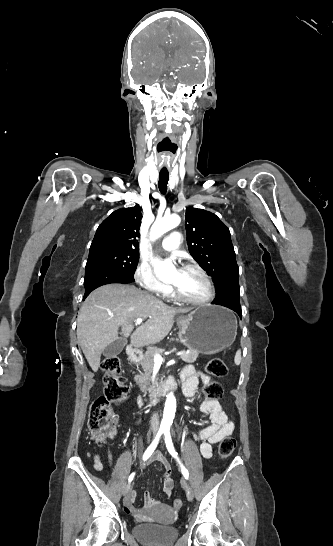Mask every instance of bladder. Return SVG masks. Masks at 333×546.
<instances>
[{
  "mask_svg": "<svg viewBox=\"0 0 333 546\" xmlns=\"http://www.w3.org/2000/svg\"><path fill=\"white\" fill-rule=\"evenodd\" d=\"M134 537L149 546H167L176 540L178 531L173 526L140 523L132 528Z\"/></svg>",
  "mask_w": 333,
  "mask_h": 546,
  "instance_id": "bladder-1",
  "label": "bladder"
}]
</instances>
